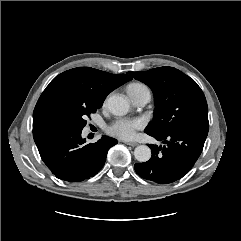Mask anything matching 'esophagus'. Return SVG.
I'll return each instance as SVG.
<instances>
[{
  "mask_svg": "<svg viewBox=\"0 0 241 241\" xmlns=\"http://www.w3.org/2000/svg\"><path fill=\"white\" fill-rule=\"evenodd\" d=\"M125 144H127V145H129V146H132V147L138 145V143H137V142H134V141H125Z\"/></svg>",
  "mask_w": 241,
  "mask_h": 241,
  "instance_id": "1",
  "label": "esophagus"
}]
</instances>
